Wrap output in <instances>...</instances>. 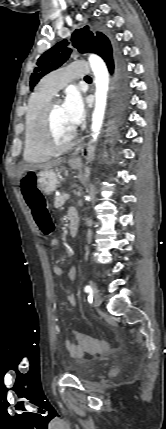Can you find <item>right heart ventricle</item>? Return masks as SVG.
Here are the masks:
<instances>
[{"instance_id": "e07e8e85", "label": "right heart ventricle", "mask_w": 166, "mask_h": 429, "mask_svg": "<svg viewBox=\"0 0 166 429\" xmlns=\"http://www.w3.org/2000/svg\"><path fill=\"white\" fill-rule=\"evenodd\" d=\"M53 94L38 87L31 95L25 114L23 157L30 163H42L50 159L52 153L40 142V120L45 105Z\"/></svg>"}]
</instances>
